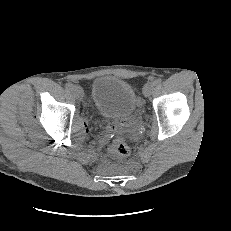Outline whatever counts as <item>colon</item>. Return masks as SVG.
Returning <instances> with one entry per match:
<instances>
[{
    "label": "colon",
    "mask_w": 231,
    "mask_h": 231,
    "mask_svg": "<svg viewBox=\"0 0 231 231\" xmlns=\"http://www.w3.org/2000/svg\"><path fill=\"white\" fill-rule=\"evenodd\" d=\"M109 152L118 157L127 156L130 153V148L122 137H116L108 148Z\"/></svg>",
    "instance_id": "5ec220e1"
}]
</instances>
